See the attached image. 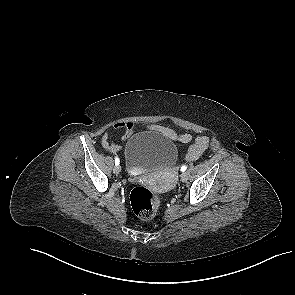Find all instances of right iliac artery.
I'll return each instance as SVG.
<instances>
[{
  "mask_svg": "<svg viewBox=\"0 0 295 295\" xmlns=\"http://www.w3.org/2000/svg\"><path fill=\"white\" fill-rule=\"evenodd\" d=\"M119 162H120V161H119V158L116 157V158H115V165H119Z\"/></svg>",
  "mask_w": 295,
  "mask_h": 295,
  "instance_id": "1",
  "label": "right iliac artery"
}]
</instances>
